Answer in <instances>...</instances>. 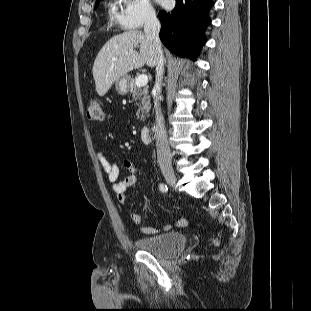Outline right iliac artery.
<instances>
[{
    "label": "right iliac artery",
    "mask_w": 311,
    "mask_h": 311,
    "mask_svg": "<svg viewBox=\"0 0 311 311\" xmlns=\"http://www.w3.org/2000/svg\"><path fill=\"white\" fill-rule=\"evenodd\" d=\"M159 189H160V191L163 192V193H166V192L168 191V187H167V185L164 184V183H161V184L159 185Z\"/></svg>",
    "instance_id": "obj_1"
}]
</instances>
